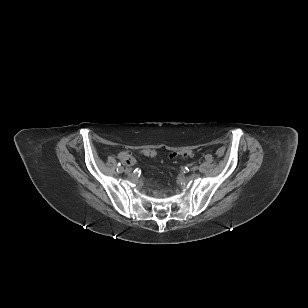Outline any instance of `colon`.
Instances as JSON below:
<instances>
[{
	"label": "colon",
	"instance_id": "5ec220e1",
	"mask_svg": "<svg viewBox=\"0 0 308 308\" xmlns=\"http://www.w3.org/2000/svg\"><path fill=\"white\" fill-rule=\"evenodd\" d=\"M142 153L145 155V156H148V157H153L156 155V152L152 149H144L142 151ZM178 154H182V155H192V152L188 151V152H182V153H171V158H174L176 157ZM118 157L120 160H122L124 163H127V164H131L133 162V158L132 156L127 153V152H120L118 154Z\"/></svg>",
	"mask_w": 308,
	"mask_h": 308
}]
</instances>
